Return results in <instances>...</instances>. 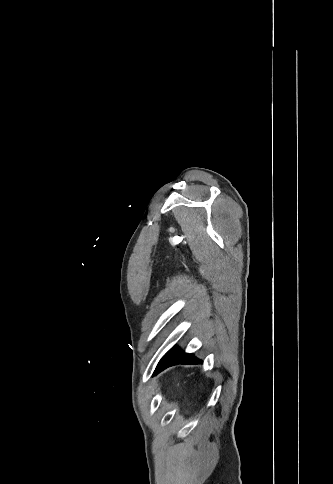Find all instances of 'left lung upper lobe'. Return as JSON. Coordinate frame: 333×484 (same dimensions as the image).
<instances>
[{"label": "left lung upper lobe", "mask_w": 333, "mask_h": 484, "mask_svg": "<svg viewBox=\"0 0 333 484\" xmlns=\"http://www.w3.org/2000/svg\"><path fill=\"white\" fill-rule=\"evenodd\" d=\"M159 372H161V371H159ZM159 372H156V373H154V374L156 375V374H157V373H159Z\"/></svg>", "instance_id": "5c2ea615"}]
</instances>
